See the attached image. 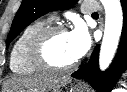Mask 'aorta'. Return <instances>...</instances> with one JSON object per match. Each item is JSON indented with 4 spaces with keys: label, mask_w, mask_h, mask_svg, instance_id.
Returning <instances> with one entry per match:
<instances>
[{
    "label": "aorta",
    "mask_w": 127,
    "mask_h": 92,
    "mask_svg": "<svg viewBox=\"0 0 127 92\" xmlns=\"http://www.w3.org/2000/svg\"><path fill=\"white\" fill-rule=\"evenodd\" d=\"M105 9V29L99 54V67L108 68L118 47L123 26L120 0H101Z\"/></svg>",
    "instance_id": "762f6f07"
}]
</instances>
